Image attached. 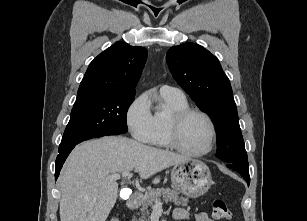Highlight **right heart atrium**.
<instances>
[{
  "label": "right heart atrium",
  "instance_id": "obj_1",
  "mask_svg": "<svg viewBox=\"0 0 307 221\" xmlns=\"http://www.w3.org/2000/svg\"><path fill=\"white\" fill-rule=\"evenodd\" d=\"M125 118L133 138L148 143L151 134L152 114L145 94L139 95L130 103Z\"/></svg>",
  "mask_w": 307,
  "mask_h": 221
}]
</instances>
